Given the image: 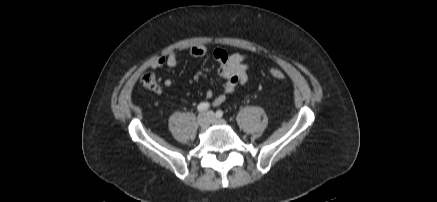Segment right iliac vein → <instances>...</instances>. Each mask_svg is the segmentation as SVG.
<instances>
[{"instance_id":"1","label":"right iliac vein","mask_w":437,"mask_h":202,"mask_svg":"<svg viewBox=\"0 0 437 202\" xmlns=\"http://www.w3.org/2000/svg\"><path fill=\"white\" fill-rule=\"evenodd\" d=\"M197 121H198V125H199L201 128H204V129H205V128H208V127H209V124H210V118H209V116H208L207 114H205V113H201V114H199Z\"/></svg>"}]
</instances>
